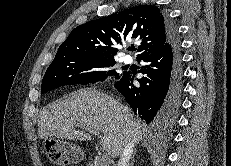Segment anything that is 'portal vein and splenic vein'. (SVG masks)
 Segmentation results:
<instances>
[{
  "mask_svg": "<svg viewBox=\"0 0 231 166\" xmlns=\"http://www.w3.org/2000/svg\"><path fill=\"white\" fill-rule=\"evenodd\" d=\"M91 133H93L94 135H98L99 132H96V131H92ZM101 161L106 165V166H109V164L111 163V158L108 154H103L101 156Z\"/></svg>",
  "mask_w": 231,
  "mask_h": 166,
  "instance_id": "1",
  "label": "portal vein and splenic vein"
}]
</instances>
